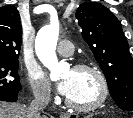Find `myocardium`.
Returning <instances> with one entry per match:
<instances>
[{
    "label": "myocardium",
    "mask_w": 133,
    "mask_h": 118,
    "mask_svg": "<svg viewBox=\"0 0 133 118\" xmlns=\"http://www.w3.org/2000/svg\"><path fill=\"white\" fill-rule=\"evenodd\" d=\"M73 70H88L94 73L99 82L100 94L93 103L88 105L74 104L68 98H65V105L70 110L78 113H88L100 108L109 96L108 82L102 70L98 66L91 63H77L74 65Z\"/></svg>",
    "instance_id": "obj_1"
}]
</instances>
